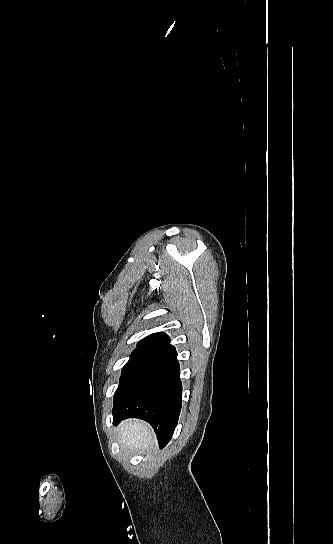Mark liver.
<instances>
[{
	"mask_svg": "<svg viewBox=\"0 0 333 544\" xmlns=\"http://www.w3.org/2000/svg\"><path fill=\"white\" fill-rule=\"evenodd\" d=\"M120 443L128 449L147 450L154 442V434L146 423L130 419L120 425Z\"/></svg>",
	"mask_w": 333,
	"mask_h": 544,
	"instance_id": "6515ba94",
	"label": "liver"
}]
</instances>
